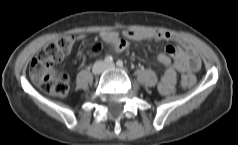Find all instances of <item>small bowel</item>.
I'll return each instance as SVG.
<instances>
[{
  "mask_svg": "<svg viewBox=\"0 0 238 145\" xmlns=\"http://www.w3.org/2000/svg\"><path fill=\"white\" fill-rule=\"evenodd\" d=\"M100 37L114 46L116 52H122L127 49L129 41H159L166 40L175 42L178 47L168 46L167 53L157 55L158 62L165 68L158 89L162 95H169L176 90L177 73L183 75L182 82L189 78L192 80V86L195 78L193 73L200 68V59L197 56L193 46L187 40L177 36L173 32H148V31H105ZM88 38L87 35L81 34L76 37L77 42H83ZM173 57V61L170 58ZM186 87V88H188Z\"/></svg>",
  "mask_w": 238,
  "mask_h": 145,
  "instance_id": "1",
  "label": "small bowel"
}]
</instances>
